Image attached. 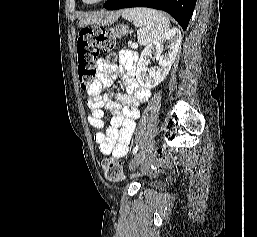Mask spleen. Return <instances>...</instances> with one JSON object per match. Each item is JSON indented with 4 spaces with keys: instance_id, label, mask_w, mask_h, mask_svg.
Here are the masks:
<instances>
[{
    "instance_id": "3e777b00",
    "label": "spleen",
    "mask_w": 257,
    "mask_h": 237,
    "mask_svg": "<svg viewBox=\"0 0 257 237\" xmlns=\"http://www.w3.org/2000/svg\"><path fill=\"white\" fill-rule=\"evenodd\" d=\"M122 17L139 27L138 43L149 45L164 35L170 27V21L159 11L146 8L126 9Z\"/></svg>"
}]
</instances>
